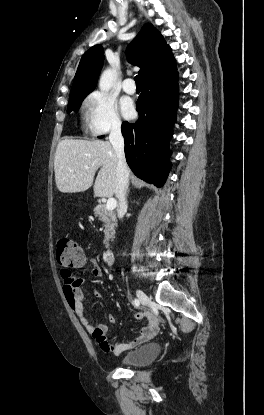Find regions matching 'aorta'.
I'll use <instances>...</instances> for the list:
<instances>
[{
    "instance_id": "762f6f07",
    "label": "aorta",
    "mask_w": 264,
    "mask_h": 415,
    "mask_svg": "<svg viewBox=\"0 0 264 415\" xmlns=\"http://www.w3.org/2000/svg\"><path fill=\"white\" fill-rule=\"evenodd\" d=\"M115 79V72L113 69L108 68L100 76L99 79V89L103 92H108L113 86Z\"/></svg>"
}]
</instances>
